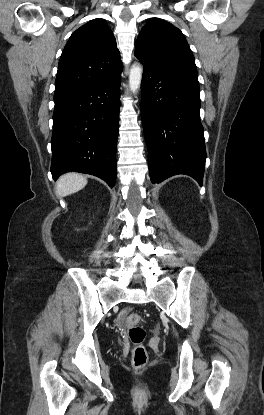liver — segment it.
<instances>
[{"label":"liver","mask_w":264,"mask_h":415,"mask_svg":"<svg viewBox=\"0 0 264 415\" xmlns=\"http://www.w3.org/2000/svg\"><path fill=\"white\" fill-rule=\"evenodd\" d=\"M87 184V179L79 173L70 172L62 175L57 181V193L64 197L83 189Z\"/></svg>","instance_id":"liver-1"}]
</instances>
